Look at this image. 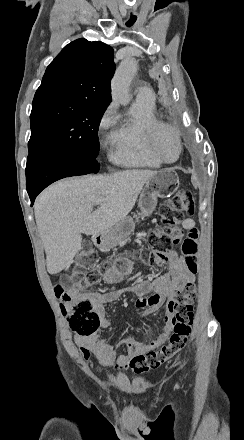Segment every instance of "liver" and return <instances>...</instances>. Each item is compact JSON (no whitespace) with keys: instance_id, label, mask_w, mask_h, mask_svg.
<instances>
[{"instance_id":"liver-1","label":"liver","mask_w":244,"mask_h":440,"mask_svg":"<svg viewBox=\"0 0 244 440\" xmlns=\"http://www.w3.org/2000/svg\"><path fill=\"white\" fill-rule=\"evenodd\" d=\"M154 174L153 170H124L111 176L65 178L46 188L34 212L48 274H59L73 262L81 248V234L96 236L126 220ZM97 200L103 202L93 212Z\"/></svg>"}]
</instances>
